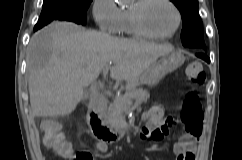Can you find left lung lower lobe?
I'll return each instance as SVG.
<instances>
[{"instance_id": "left-lung-lower-lobe-1", "label": "left lung lower lobe", "mask_w": 242, "mask_h": 160, "mask_svg": "<svg viewBox=\"0 0 242 160\" xmlns=\"http://www.w3.org/2000/svg\"><path fill=\"white\" fill-rule=\"evenodd\" d=\"M196 56H198L199 58H202L203 60H205L208 63L210 62V59L207 56L205 51L196 50Z\"/></svg>"}]
</instances>
